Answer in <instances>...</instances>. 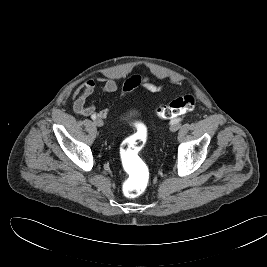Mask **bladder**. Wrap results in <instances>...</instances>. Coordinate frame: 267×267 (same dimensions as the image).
<instances>
[{"label": "bladder", "mask_w": 267, "mask_h": 267, "mask_svg": "<svg viewBox=\"0 0 267 267\" xmlns=\"http://www.w3.org/2000/svg\"><path fill=\"white\" fill-rule=\"evenodd\" d=\"M135 118V112L133 110L126 111L122 114V120L125 123H129Z\"/></svg>", "instance_id": "obj_1"}]
</instances>
